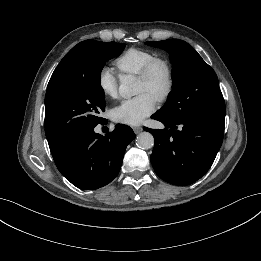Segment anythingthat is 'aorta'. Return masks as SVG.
Segmentation results:
<instances>
[{
	"label": "aorta",
	"instance_id": "aorta-1",
	"mask_svg": "<svg viewBox=\"0 0 261 261\" xmlns=\"http://www.w3.org/2000/svg\"><path fill=\"white\" fill-rule=\"evenodd\" d=\"M119 93L124 98H129L138 93L136 77L133 75H125L121 79ZM136 145L141 149H150L154 146V137L149 132H142L136 138Z\"/></svg>",
	"mask_w": 261,
	"mask_h": 261
}]
</instances>
